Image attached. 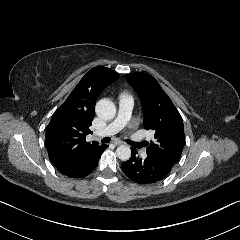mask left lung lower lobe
<instances>
[{"label": "left lung lower lobe", "instance_id": "obj_1", "mask_svg": "<svg viewBox=\"0 0 240 240\" xmlns=\"http://www.w3.org/2000/svg\"><path fill=\"white\" fill-rule=\"evenodd\" d=\"M131 158L122 164V169L127 177L135 183L147 185L164 179L172 166L160 159L147 154L145 159L136 156V149L131 148Z\"/></svg>", "mask_w": 240, "mask_h": 240}]
</instances>
